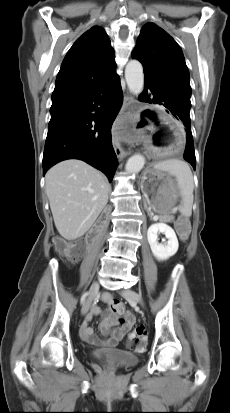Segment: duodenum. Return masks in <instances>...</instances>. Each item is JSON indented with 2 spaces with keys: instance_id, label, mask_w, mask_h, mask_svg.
<instances>
[{
  "instance_id": "duodenum-1",
  "label": "duodenum",
  "mask_w": 230,
  "mask_h": 413,
  "mask_svg": "<svg viewBox=\"0 0 230 413\" xmlns=\"http://www.w3.org/2000/svg\"><path fill=\"white\" fill-rule=\"evenodd\" d=\"M94 234H95V232H92V233L90 234V237H93V236H94Z\"/></svg>"
}]
</instances>
